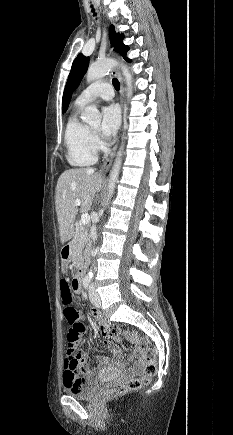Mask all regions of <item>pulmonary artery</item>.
<instances>
[{"label": "pulmonary artery", "instance_id": "pulmonary-artery-1", "mask_svg": "<svg viewBox=\"0 0 233 435\" xmlns=\"http://www.w3.org/2000/svg\"><path fill=\"white\" fill-rule=\"evenodd\" d=\"M113 97L111 85L106 82H96L83 90L76 99V104L83 106L95 99L110 100Z\"/></svg>", "mask_w": 233, "mask_h": 435}]
</instances>
